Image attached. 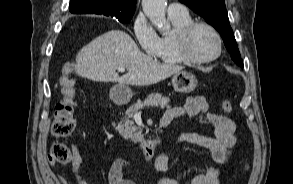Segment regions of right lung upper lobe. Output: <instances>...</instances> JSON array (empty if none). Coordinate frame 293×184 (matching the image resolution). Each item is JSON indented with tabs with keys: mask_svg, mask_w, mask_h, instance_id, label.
<instances>
[{
	"mask_svg": "<svg viewBox=\"0 0 293 184\" xmlns=\"http://www.w3.org/2000/svg\"><path fill=\"white\" fill-rule=\"evenodd\" d=\"M136 9V0H70L73 14H103L111 17H131Z\"/></svg>",
	"mask_w": 293,
	"mask_h": 184,
	"instance_id": "cb5924a9",
	"label": "right lung upper lobe"
}]
</instances>
